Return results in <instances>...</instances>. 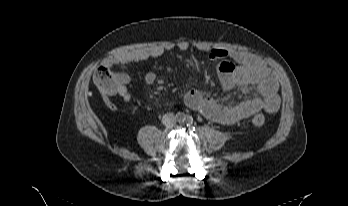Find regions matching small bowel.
I'll use <instances>...</instances> for the list:
<instances>
[{"mask_svg": "<svg viewBox=\"0 0 348 206\" xmlns=\"http://www.w3.org/2000/svg\"><path fill=\"white\" fill-rule=\"evenodd\" d=\"M182 51L188 50L191 44L187 41L178 43ZM199 51L206 53L213 61H218V75L221 85L225 89L235 87H256L258 96L252 97L236 105H227L218 102L199 91H192L188 97V103L196 110L202 112L210 120L223 125H233L249 118L259 111L276 113L280 106L278 95V82L272 71L259 59L251 54L240 51H228L223 48L195 45ZM165 48L155 47L151 49H136L114 57L112 60L118 68L126 71L133 63L145 61L162 55ZM124 75V82L119 95L124 102L131 100V93L127 88L129 77ZM147 84H154L157 75L148 72L145 75Z\"/></svg>", "mask_w": 348, "mask_h": 206, "instance_id": "small-bowel-1", "label": "small bowel"}]
</instances>
